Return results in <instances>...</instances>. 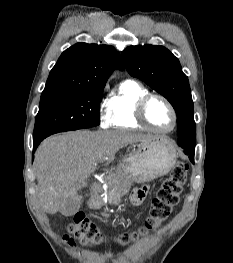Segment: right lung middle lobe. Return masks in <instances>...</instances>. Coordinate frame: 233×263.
<instances>
[{"label": "right lung middle lobe", "instance_id": "dd1d6c3e", "mask_svg": "<svg viewBox=\"0 0 233 263\" xmlns=\"http://www.w3.org/2000/svg\"><path fill=\"white\" fill-rule=\"evenodd\" d=\"M103 89L72 90L41 95L33 141L54 133L99 125Z\"/></svg>", "mask_w": 233, "mask_h": 263}]
</instances>
